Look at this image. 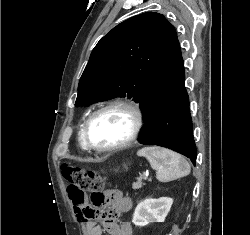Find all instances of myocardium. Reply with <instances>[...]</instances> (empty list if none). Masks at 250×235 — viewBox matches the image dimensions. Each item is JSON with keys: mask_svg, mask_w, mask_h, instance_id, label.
Returning <instances> with one entry per match:
<instances>
[{"mask_svg": "<svg viewBox=\"0 0 250 235\" xmlns=\"http://www.w3.org/2000/svg\"><path fill=\"white\" fill-rule=\"evenodd\" d=\"M112 109H120L128 113L131 118L132 126L128 136L121 142L107 146V147H99L91 143L89 138V127L96 116L99 114L112 110ZM143 125V114L137 103L130 100L125 99H116L112 100L97 109H95L86 119L83 129H82V138L85 147L89 150L98 152V153H106V152H115L121 149H124L130 145H132L138 138L140 131Z\"/></svg>", "mask_w": 250, "mask_h": 235, "instance_id": "myocardium-1", "label": "myocardium"}]
</instances>
